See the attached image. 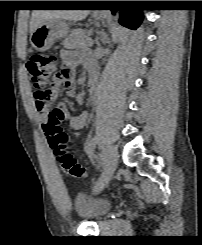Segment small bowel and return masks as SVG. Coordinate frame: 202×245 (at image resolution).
Instances as JSON below:
<instances>
[{
  "instance_id": "small-bowel-1",
  "label": "small bowel",
  "mask_w": 202,
  "mask_h": 245,
  "mask_svg": "<svg viewBox=\"0 0 202 245\" xmlns=\"http://www.w3.org/2000/svg\"><path fill=\"white\" fill-rule=\"evenodd\" d=\"M61 60H62L63 65L65 66V69L68 70L69 75L71 77L70 80L63 83V86L66 90L67 96L74 97L76 94V87H75V83L73 82L72 78L74 77L76 68L81 61V55L74 51L65 50L61 54ZM83 64L86 70L88 66H92L94 69L96 68L94 60L90 57L84 58ZM54 110L61 116L64 122L68 123L74 129L83 128L88 119L87 112H82L81 114L77 116H71L70 111L65 104H59L58 107ZM34 112L36 114V117L41 122L47 121L48 112H45L44 107L42 105H38L37 101H36V104H34Z\"/></svg>"
}]
</instances>
